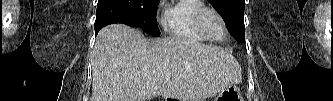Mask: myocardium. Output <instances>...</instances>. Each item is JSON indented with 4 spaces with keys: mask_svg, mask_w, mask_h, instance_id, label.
I'll return each instance as SVG.
<instances>
[{
    "mask_svg": "<svg viewBox=\"0 0 333 101\" xmlns=\"http://www.w3.org/2000/svg\"><path fill=\"white\" fill-rule=\"evenodd\" d=\"M207 12L213 13L220 20V22L223 26V30H224L223 36L221 38H213L208 33L207 29L205 28L204 23H203V18H204L205 13H207ZM194 21H195V26L198 29V31L201 34H203L208 40H211V41H214V42H219V41L224 40L228 35V27H227V24L225 22V19L223 18L221 13L219 11H217L216 9H214V8L206 7V6L201 7L200 9H198L196 11L195 16H194Z\"/></svg>",
    "mask_w": 333,
    "mask_h": 101,
    "instance_id": "obj_1",
    "label": "myocardium"
}]
</instances>
